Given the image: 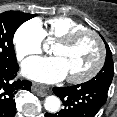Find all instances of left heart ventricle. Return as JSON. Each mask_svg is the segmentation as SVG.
Segmentation results:
<instances>
[{
    "instance_id": "obj_1",
    "label": "left heart ventricle",
    "mask_w": 117,
    "mask_h": 117,
    "mask_svg": "<svg viewBox=\"0 0 117 117\" xmlns=\"http://www.w3.org/2000/svg\"><path fill=\"white\" fill-rule=\"evenodd\" d=\"M52 53L63 62L67 77H75L93 68L98 59L99 48L92 36L85 35L70 46L55 44Z\"/></svg>"
}]
</instances>
